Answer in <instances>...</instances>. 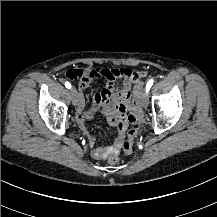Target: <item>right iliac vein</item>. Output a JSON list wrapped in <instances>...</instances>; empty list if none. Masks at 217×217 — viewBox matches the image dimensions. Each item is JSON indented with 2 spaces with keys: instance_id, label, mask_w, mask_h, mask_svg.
Masks as SVG:
<instances>
[{
  "instance_id": "63e3f726",
  "label": "right iliac vein",
  "mask_w": 217,
  "mask_h": 217,
  "mask_svg": "<svg viewBox=\"0 0 217 217\" xmlns=\"http://www.w3.org/2000/svg\"><path fill=\"white\" fill-rule=\"evenodd\" d=\"M71 96H72V104L74 106H77L78 104H80L79 94L75 88L71 89Z\"/></svg>"
}]
</instances>
